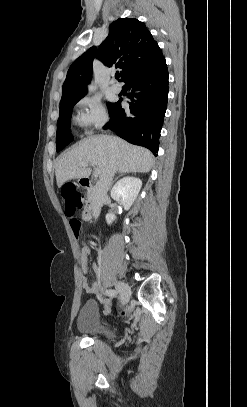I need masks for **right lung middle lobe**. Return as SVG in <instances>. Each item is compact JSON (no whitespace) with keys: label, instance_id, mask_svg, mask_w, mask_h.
<instances>
[{"label":"right lung middle lobe","instance_id":"obj_1","mask_svg":"<svg viewBox=\"0 0 247 407\" xmlns=\"http://www.w3.org/2000/svg\"><path fill=\"white\" fill-rule=\"evenodd\" d=\"M71 100L60 104V116L57 122V133H56V150L61 151L65 146H67L72 140V135L70 133V122L71 113L74 105L79 101ZM114 104L108 103V110L110 111Z\"/></svg>","mask_w":247,"mask_h":407}]
</instances>
